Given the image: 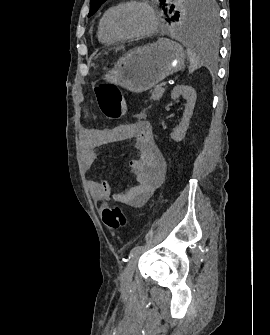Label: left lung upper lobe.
Returning <instances> with one entry per match:
<instances>
[{"instance_id":"1","label":"left lung upper lobe","mask_w":270,"mask_h":335,"mask_svg":"<svg viewBox=\"0 0 270 335\" xmlns=\"http://www.w3.org/2000/svg\"><path fill=\"white\" fill-rule=\"evenodd\" d=\"M106 0H90V12L92 16ZM160 7L167 12L169 4L166 0H159ZM173 16L167 21L177 22L182 28L195 31L216 32L218 11L215 0H179L172 4L169 13Z\"/></svg>"}]
</instances>
